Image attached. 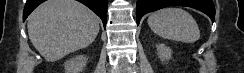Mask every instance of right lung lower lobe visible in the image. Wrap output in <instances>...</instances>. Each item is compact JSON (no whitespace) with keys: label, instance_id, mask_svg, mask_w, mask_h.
I'll return each mask as SVG.
<instances>
[{"label":"right lung lower lobe","instance_id":"obj_1","mask_svg":"<svg viewBox=\"0 0 244 73\" xmlns=\"http://www.w3.org/2000/svg\"><path fill=\"white\" fill-rule=\"evenodd\" d=\"M44 1L46 0H27L23 12V21L39 4H41ZM77 1L85 4L92 11H94L102 19L104 27L106 26L108 0H77Z\"/></svg>","mask_w":244,"mask_h":73}]
</instances>
